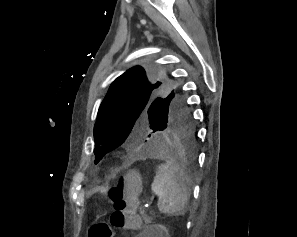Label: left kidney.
<instances>
[{"instance_id":"obj_1","label":"left kidney","mask_w":297,"mask_h":237,"mask_svg":"<svg viewBox=\"0 0 297 237\" xmlns=\"http://www.w3.org/2000/svg\"><path fill=\"white\" fill-rule=\"evenodd\" d=\"M155 230L157 235L156 237H167L168 235V231L163 225H156Z\"/></svg>"}]
</instances>
